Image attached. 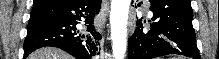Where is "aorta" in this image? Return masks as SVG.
Instances as JSON below:
<instances>
[{"label":"aorta","instance_id":"aorta-1","mask_svg":"<svg viewBox=\"0 0 219 59\" xmlns=\"http://www.w3.org/2000/svg\"><path fill=\"white\" fill-rule=\"evenodd\" d=\"M131 0H112L110 27L114 59H124L127 48V21Z\"/></svg>","mask_w":219,"mask_h":59}]
</instances>
